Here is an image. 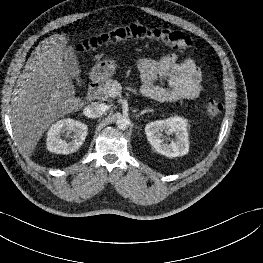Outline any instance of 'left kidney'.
Returning <instances> with one entry per match:
<instances>
[{
  "label": "left kidney",
  "instance_id": "5707ae66",
  "mask_svg": "<svg viewBox=\"0 0 263 263\" xmlns=\"http://www.w3.org/2000/svg\"><path fill=\"white\" fill-rule=\"evenodd\" d=\"M163 132L169 135L174 133L175 140L169 143ZM145 133L149 143L164 156L178 157L186 155L189 151L187 121L182 117L150 122L145 126Z\"/></svg>",
  "mask_w": 263,
  "mask_h": 263
}]
</instances>
